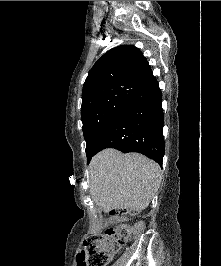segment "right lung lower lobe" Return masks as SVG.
Returning a JSON list of instances; mask_svg holds the SVG:
<instances>
[{
  "mask_svg": "<svg viewBox=\"0 0 221 266\" xmlns=\"http://www.w3.org/2000/svg\"><path fill=\"white\" fill-rule=\"evenodd\" d=\"M163 123L162 94L153 77L133 95L88 162L99 151L112 147L124 153L144 154L162 165L165 148Z\"/></svg>",
  "mask_w": 221,
  "mask_h": 266,
  "instance_id": "right-lung-lower-lobe-1",
  "label": "right lung lower lobe"
}]
</instances>
